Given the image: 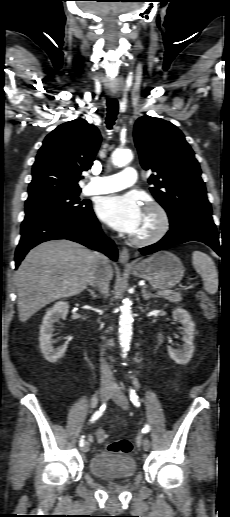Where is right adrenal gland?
<instances>
[{"mask_svg":"<svg viewBox=\"0 0 230 517\" xmlns=\"http://www.w3.org/2000/svg\"><path fill=\"white\" fill-rule=\"evenodd\" d=\"M87 290H88V292L90 293V295L92 296L93 299H95L97 297V294L95 293L94 290H92V289H87Z\"/></svg>","mask_w":230,"mask_h":517,"instance_id":"obj_1","label":"right adrenal gland"}]
</instances>
